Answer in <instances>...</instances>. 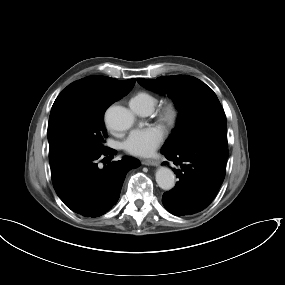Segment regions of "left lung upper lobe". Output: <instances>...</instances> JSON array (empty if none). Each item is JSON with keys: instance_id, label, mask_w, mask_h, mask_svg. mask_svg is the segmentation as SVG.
<instances>
[{"instance_id": "5c2ea615", "label": "left lung upper lobe", "mask_w": 285, "mask_h": 285, "mask_svg": "<svg viewBox=\"0 0 285 285\" xmlns=\"http://www.w3.org/2000/svg\"><path fill=\"white\" fill-rule=\"evenodd\" d=\"M143 87L168 94L179 111L176 128L161 150L175 152L198 145L227 148L224 110L214 91L199 79L171 75L155 80L138 78Z\"/></svg>"}]
</instances>
